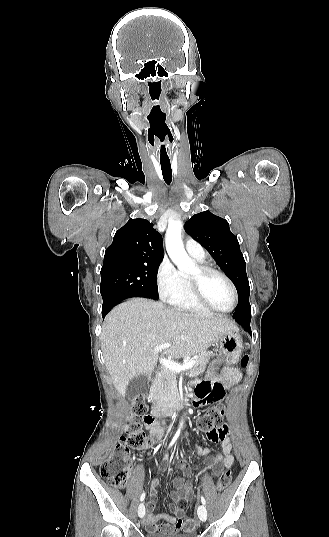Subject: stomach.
I'll use <instances>...</instances> for the list:
<instances>
[{"label": "stomach", "instance_id": "0dacf381", "mask_svg": "<svg viewBox=\"0 0 329 537\" xmlns=\"http://www.w3.org/2000/svg\"><path fill=\"white\" fill-rule=\"evenodd\" d=\"M218 345L225 355L227 364L232 365L239 361L243 345L238 328L223 334Z\"/></svg>", "mask_w": 329, "mask_h": 537}]
</instances>
